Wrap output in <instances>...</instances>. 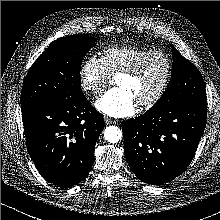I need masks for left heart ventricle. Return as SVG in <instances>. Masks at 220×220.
Here are the masks:
<instances>
[{
	"instance_id": "b2bd125f",
	"label": "left heart ventricle",
	"mask_w": 220,
	"mask_h": 220,
	"mask_svg": "<svg viewBox=\"0 0 220 220\" xmlns=\"http://www.w3.org/2000/svg\"><path fill=\"white\" fill-rule=\"evenodd\" d=\"M165 71L164 61L161 58L153 57L145 63L136 76H120L116 79V84L118 87L128 90L139 104L152 97L157 91L164 79Z\"/></svg>"
}]
</instances>
